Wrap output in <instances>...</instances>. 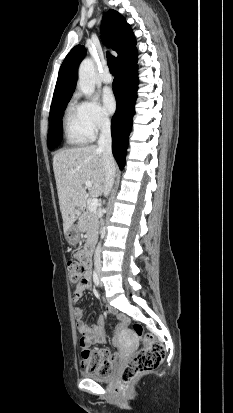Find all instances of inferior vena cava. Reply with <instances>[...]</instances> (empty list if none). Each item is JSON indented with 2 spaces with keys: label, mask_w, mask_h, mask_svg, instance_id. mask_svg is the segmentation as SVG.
Returning a JSON list of instances; mask_svg holds the SVG:
<instances>
[{
  "label": "inferior vena cava",
  "mask_w": 233,
  "mask_h": 413,
  "mask_svg": "<svg viewBox=\"0 0 233 413\" xmlns=\"http://www.w3.org/2000/svg\"><path fill=\"white\" fill-rule=\"evenodd\" d=\"M112 138L110 120L104 117L101 121V133L98 140V148L103 152L105 162V186L104 195L107 196L112 189L115 177V161L112 155ZM94 265L97 270L101 268V249L98 245L94 255Z\"/></svg>",
  "instance_id": "inferior-vena-cava-1"
}]
</instances>
